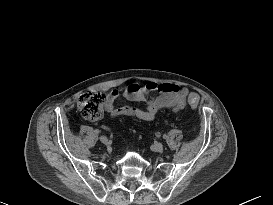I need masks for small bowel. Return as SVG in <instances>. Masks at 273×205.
<instances>
[{
  "label": "small bowel",
  "instance_id": "c3829d8e",
  "mask_svg": "<svg viewBox=\"0 0 273 205\" xmlns=\"http://www.w3.org/2000/svg\"><path fill=\"white\" fill-rule=\"evenodd\" d=\"M122 95L130 101L143 103L144 108L133 106L116 107V102L121 96L117 89L112 90L104 102V109L111 119L123 116H133L141 120L151 121L162 109L179 112L185 105L187 98L191 95L186 88L172 83L148 82L141 86L138 83H130L126 86Z\"/></svg>",
  "mask_w": 273,
  "mask_h": 205
}]
</instances>
